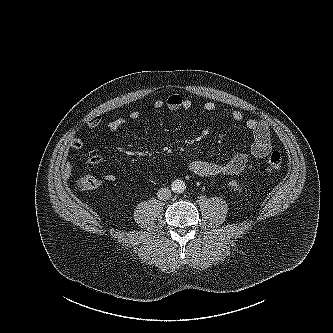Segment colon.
<instances>
[{
  "label": "colon",
  "mask_w": 333,
  "mask_h": 333,
  "mask_svg": "<svg viewBox=\"0 0 333 333\" xmlns=\"http://www.w3.org/2000/svg\"><path fill=\"white\" fill-rule=\"evenodd\" d=\"M283 165V155L280 151H273L266 162L267 171L279 170ZM101 182L94 176L85 174L76 180V186L80 189L90 190L96 189L100 186Z\"/></svg>",
  "instance_id": "colon-1"
}]
</instances>
